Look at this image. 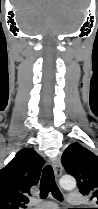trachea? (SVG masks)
Wrapping results in <instances>:
<instances>
[{
    "label": "trachea",
    "instance_id": "obj_1",
    "mask_svg": "<svg viewBox=\"0 0 98 209\" xmlns=\"http://www.w3.org/2000/svg\"><path fill=\"white\" fill-rule=\"evenodd\" d=\"M49 192H51L53 197L57 200H63V195L55 182L53 169L48 165L44 167L42 172L40 181V197L42 199L46 198Z\"/></svg>",
    "mask_w": 98,
    "mask_h": 209
}]
</instances>
